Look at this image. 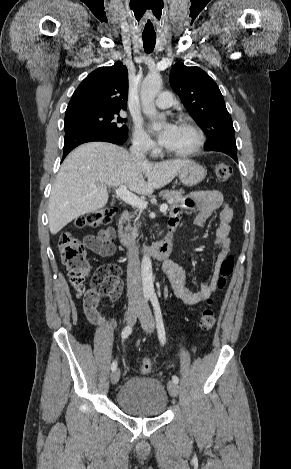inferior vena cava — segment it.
Segmentation results:
<instances>
[{
    "instance_id": "1",
    "label": "inferior vena cava",
    "mask_w": 291,
    "mask_h": 469,
    "mask_svg": "<svg viewBox=\"0 0 291 469\" xmlns=\"http://www.w3.org/2000/svg\"><path fill=\"white\" fill-rule=\"evenodd\" d=\"M145 147L140 139H135L130 147V153L141 160L145 157ZM127 292L129 306H144L145 302L142 296L141 273L138 248L135 242L128 250L127 265Z\"/></svg>"
}]
</instances>
